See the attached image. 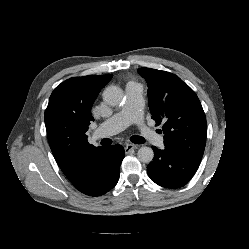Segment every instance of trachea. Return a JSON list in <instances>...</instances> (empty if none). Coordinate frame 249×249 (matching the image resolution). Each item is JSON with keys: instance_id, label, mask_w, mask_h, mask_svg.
Wrapping results in <instances>:
<instances>
[{"instance_id": "obj_1", "label": "trachea", "mask_w": 249, "mask_h": 249, "mask_svg": "<svg viewBox=\"0 0 249 249\" xmlns=\"http://www.w3.org/2000/svg\"><path fill=\"white\" fill-rule=\"evenodd\" d=\"M131 141L133 143H135V144H143V143H145V139L143 137L137 136V135L132 136Z\"/></svg>"}]
</instances>
